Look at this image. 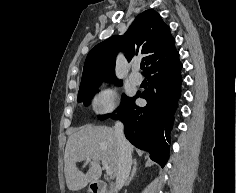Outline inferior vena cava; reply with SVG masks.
<instances>
[{"label": "inferior vena cava", "mask_w": 237, "mask_h": 193, "mask_svg": "<svg viewBox=\"0 0 237 193\" xmlns=\"http://www.w3.org/2000/svg\"><path fill=\"white\" fill-rule=\"evenodd\" d=\"M114 132L118 143V172L116 175V188L120 190L126 183L132 165L131 146L124 135V125L117 121Z\"/></svg>", "instance_id": "1"}]
</instances>
